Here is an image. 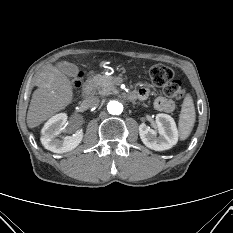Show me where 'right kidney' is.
Here are the masks:
<instances>
[{"instance_id":"right-kidney-1","label":"right kidney","mask_w":233,"mask_h":233,"mask_svg":"<svg viewBox=\"0 0 233 233\" xmlns=\"http://www.w3.org/2000/svg\"><path fill=\"white\" fill-rule=\"evenodd\" d=\"M67 122V114L59 113L51 117L42 128L41 143L54 153H65L75 149L82 141L83 131L77 130L73 135L57 138Z\"/></svg>"}]
</instances>
